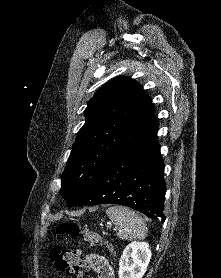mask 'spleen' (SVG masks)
I'll return each mask as SVG.
<instances>
[{"label":"spleen","instance_id":"1","mask_svg":"<svg viewBox=\"0 0 221 278\" xmlns=\"http://www.w3.org/2000/svg\"><path fill=\"white\" fill-rule=\"evenodd\" d=\"M106 214L117 226V236L122 240L144 239L147 235V226L143 218L123 206H112Z\"/></svg>","mask_w":221,"mask_h":278}]
</instances>
